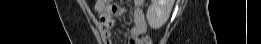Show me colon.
<instances>
[{
  "instance_id": "1",
  "label": "colon",
  "mask_w": 261,
  "mask_h": 44,
  "mask_svg": "<svg viewBox=\"0 0 261 44\" xmlns=\"http://www.w3.org/2000/svg\"><path fill=\"white\" fill-rule=\"evenodd\" d=\"M117 6V1L103 0L96 1V6ZM150 38L148 35H142L136 39V44H150Z\"/></svg>"
}]
</instances>
